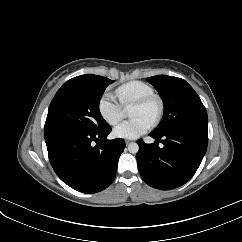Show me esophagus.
Segmentation results:
<instances>
[{"instance_id": "esophagus-1", "label": "esophagus", "mask_w": 242, "mask_h": 242, "mask_svg": "<svg viewBox=\"0 0 242 242\" xmlns=\"http://www.w3.org/2000/svg\"><path fill=\"white\" fill-rule=\"evenodd\" d=\"M125 142H126V144H129V143H130V141H129V140H126Z\"/></svg>"}]
</instances>
